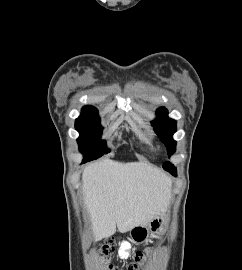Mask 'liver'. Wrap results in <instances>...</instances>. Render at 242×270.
<instances>
[{
    "label": "liver",
    "instance_id": "obj_1",
    "mask_svg": "<svg viewBox=\"0 0 242 270\" xmlns=\"http://www.w3.org/2000/svg\"><path fill=\"white\" fill-rule=\"evenodd\" d=\"M84 206L90 214L95 240L148 225L165 212L171 179L143 162L104 159L87 166L82 175Z\"/></svg>",
    "mask_w": 242,
    "mask_h": 270
}]
</instances>
